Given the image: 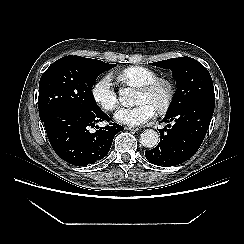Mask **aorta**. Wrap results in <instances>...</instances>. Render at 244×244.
<instances>
[{"mask_svg": "<svg viewBox=\"0 0 244 244\" xmlns=\"http://www.w3.org/2000/svg\"><path fill=\"white\" fill-rule=\"evenodd\" d=\"M120 102L125 106H131L134 103L133 92L129 88L119 90ZM140 142L146 148H154L159 142V135L152 129L143 131L140 135Z\"/></svg>", "mask_w": 244, "mask_h": 244, "instance_id": "762f6f07", "label": "aorta"}]
</instances>
